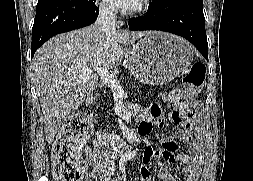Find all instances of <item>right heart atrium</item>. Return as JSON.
Wrapping results in <instances>:
<instances>
[{"instance_id":"right-heart-atrium-1","label":"right heart atrium","mask_w":253,"mask_h":181,"mask_svg":"<svg viewBox=\"0 0 253 181\" xmlns=\"http://www.w3.org/2000/svg\"><path fill=\"white\" fill-rule=\"evenodd\" d=\"M100 9L104 13L113 14L115 12V6L113 0H101L100 1Z\"/></svg>"}]
</instances>
